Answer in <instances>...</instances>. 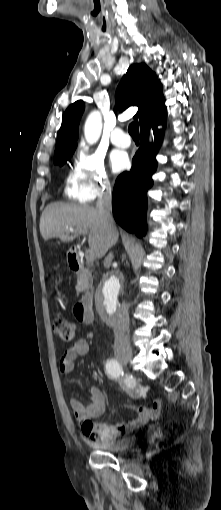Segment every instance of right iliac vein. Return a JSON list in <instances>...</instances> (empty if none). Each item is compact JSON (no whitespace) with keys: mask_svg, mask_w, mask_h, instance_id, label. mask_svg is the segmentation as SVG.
<instances>
[{"mask_svg":"<svg viewBox=\"0 0 221 510\" xmlns=\"http://www.w3.org/2000/svg\"><path fill=\"white\" fill-rule=\"evenodd\" d=\"M132 357H133V355H132L131 352H124V353H119L117 355V360L120 363L126 365V364H128L129 362L132 361Z\"/></svg>","mask_w":221,"mask_h":510,"instance_id":"63e3f726","label":"right iliac vein"}]
</instances>
